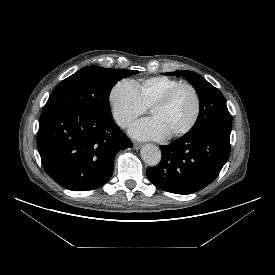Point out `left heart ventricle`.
I'll use <instances>...</instances> for the list:
<instances>
[{
    "mask_svg": "<svg viewBox=\"0 0 275 275\" xmlns=\"http://www.w3.org/2000/svg\"><path fill=\"white\" fill-rule=\"evenodd\" d=\"M195 97L188 88H181L164 108L154 109L151 116L157 119L168 135L184 128L195 113Z\"/></svg>",
    "mask_w": 275,
    "mask_h": 275,
    "instance_id": "1",
    "label": "left heart ventricle"
}]
</instances>
